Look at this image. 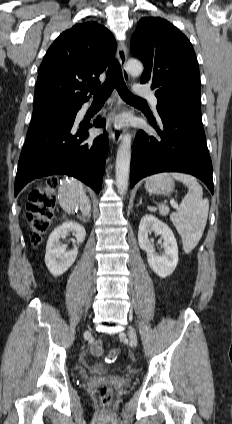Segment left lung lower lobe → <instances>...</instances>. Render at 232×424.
<instances>
[{
  "mask_svg": "<svg viewBox=\"0 0 232 424\" xmlns=\"http://www.w3.org/2000/svg\"><path fill=\"white\" fill-rule=\"evenodd\" d=\"M163 130L157 135L140 130L135 138L131 167V188L142 178L159 172H183L202 180L214 193L212 163L201 120L200 101L172 99L158 101Z\"/></svg>",
  "mask_w": 232,
  "mask_h": 424,
  "instance_id": "left-lung-lower-lobe-1",
  "label": "left lung lower lobe"
}]
</instances>
